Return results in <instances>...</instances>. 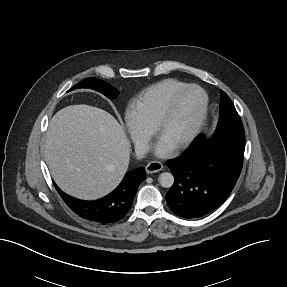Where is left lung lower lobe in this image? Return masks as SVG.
<instances>
[{
	"label": "left lung lower lobe",
	"instance_id": "0a47b994",
	"mask_svg": "<svg viewBox=\"0 0 287 287\" xmlns=\"http://www.w3.org/2000/svg\"><path fill=\"white\" fill-rule=\"evenodd\" d=\"M245 138L195 139L178 158L167 162L174 184L166 193L170 209L180 217H202L221 205L242 170Z\"/></svg>",
	"mask_w": 287,
	"mask_h": 287
}]
</instances>
